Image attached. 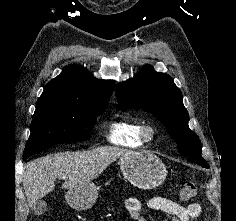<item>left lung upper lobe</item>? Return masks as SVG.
<instances>
[{
  "label": "left lung upper lobe",
  "mask_w": 236,
  "mask_h": 221,
  "mask_svg": "<svg viewBox=\"0 0 236 221\" xmlns=\"http://www.w3.org/2000/svg\"><path fill=\"white\" fill-rule=\"evenodd\" d=\"M116 97L122 110L141 108L156 116L177 143L178 149L194 163L209 168L201 156L198 136L189 129V114L182 93L166 73L145 65L133 78L120 82Z\"/></svg>",
  "instance_id": "left-lung-upper-lobe-1"
}]
</instances>
